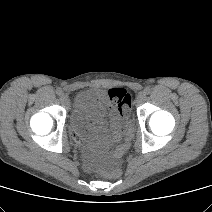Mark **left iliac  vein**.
Wrapping results in <instances>:
<instances>
[{"label":"left iliac vein","instance_id":"1","mask_svg":"<svg viewBox=\"0 0 212 212\" xmlns=\"http://www.w3.org/2000/svg\"><path fill=\"white\" fill-rule=\"evenodd\" d=\"M145 92L144 91H140V92H138L137 93V103H142L143 102V100H144V98H145Z\"/></svg>","mask_w":212,"mask_h":212}]
</instances>
